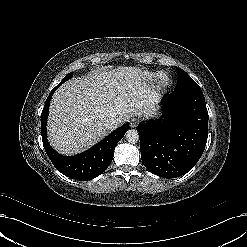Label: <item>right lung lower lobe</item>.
Listing matches in <instances>:
<instances>
[{"label": "right lung lower lobe", "instance_id": "right-lung-lower-lobe-1", "mask_svg": "<svg viewBox=\"0 0 247 247\" xmlns=\"http://www.w3.org/2000/svg\"><path fill=\"white\" fill-rule=\"evenodd\" d=\"M57 88L58 86L50 92L41 114V131L44 149L54 167L65 176L79 181L91 180L103 173L111 164L114 149L129 129V123L113 131L94 147L81 154L71 157L60 155L49 145L46 134L49 104Z\"/></svg>", "mask_w": 247, "mask_h": 247}]
</instances>
